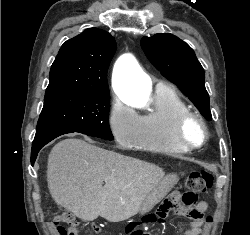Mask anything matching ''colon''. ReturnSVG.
<instances>
[{"instance_id": "colon-1", "label": "colon", "mask_w": 250, "mask_h": 235, "mask_svg": "<svg viewBox=\"0 0 250 235\" xmlns=\"http://www.w3.org/2000/svg\"><path fill=\"white\" fill-rule=\"evenodd\" d=\"M212 183L213 177L209 172L202 169L191 172L186 178L185 192L182 196V202L186 206V208H193L197 203L198 195L209 190L212 186ZM159 211L160 208L155 214L152 215L150 220L159 221ZM188 216L191 218H196L199 216V214L196 211H191L190 215ZM60 222L65 223L67 227L59 225ZM55 223L57 225V230L60 235H78L77 229L79 223L74 219L73 216L69 214H63L58 217V221ZM140 235L143 234L140 233Z\"/></svg>"}]
</instances>
